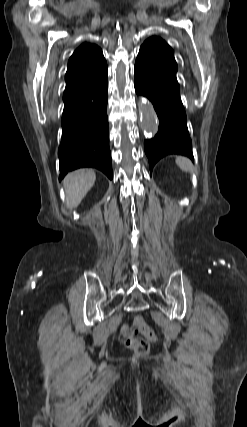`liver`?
Instances as JSON below:
<instances>
[{"label": "liver", "instance_id": "liver-1", "mask_svg": "<svg viewBox=\"0 0 247 427\" xmlns=\"http://www.w3.org/2000/svg\"><path fill=\"white\" fill-rule=\"evenodd\" d=\"M95 180L96 174L92 169H79L69 173L63 181L67 208H76L93 187Z\"/></svg>", "mask_w": 247, "mask_h": 427}]
</instances>
